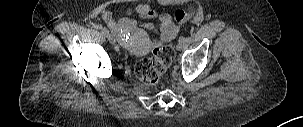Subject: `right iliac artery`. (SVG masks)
Wrapping results in <instances>:
<instances>
[{
	"mask_svg": "<svg viewBox=\"0 0 303 127\" xmlns=\"http://www.w3.org/2000/svg\"><path fill=\"white\" fill-rule=\"evenodd\" d=\"M94 27L96 29L100 30L103 35L109 34V31L106 28H104L101 25H99V24H95Z\"/></svg>",
	"mask_w": 303,
	"mask_h": 127,
	"instance_id": "82829eb1",
	"label": "right iliac artery"
}]
</instances>
